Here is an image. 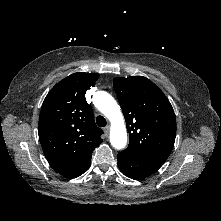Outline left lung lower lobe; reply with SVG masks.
I'll list each match as a JSON object with an SVG mask.
<instances>
[{
    "label": "left lung lower lobe",
    "instance_id": "0a47b994",
    "mask_svg": "<svg viewBox=\"0 0 221 221\" xmlns=\"http://www.w3.org/2000/svg\"><path fill=\"white\" fill-rule=\"evenodd\" d=\"M120 171L133 179H143L154 174L161 165L152 163L136 153L125 149L117 155Z\"/></svg>",
    "mask_w": 221,
    "mask_h": 221
}]
</instances>
